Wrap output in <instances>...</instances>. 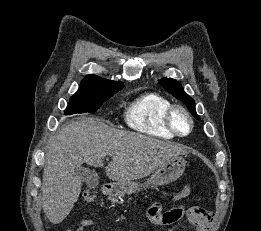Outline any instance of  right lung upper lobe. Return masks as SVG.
I'll list each match as a JSON object with an SVG mask.
<instances>
[{
	"instance_id": "cb5924a9",
	"label": "right lung upper lobe",
	"mask_w": 261,
	"mask_h": 231,
	"mask_svg": "<svg viewBox=\"0 0 261 231\" xmlns=\"http://www.w3.org/2000/svg\"><path fill=\"white\" fill-rule=\"evenodd\" d=\"M123 83L101 79L98 76L90 75L82 80L78 91V95H96L104 93L117 92L123 88Z\"/></svg>"
}]
</instances>
